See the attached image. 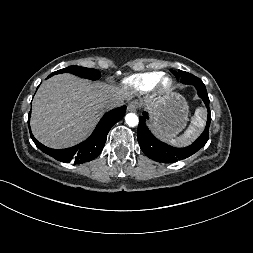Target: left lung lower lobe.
Here are the masks:
<instances>
[{
  "instance_id": "obj_1",
  "label": "left lung lower lobe",
  "mask_w": 253,
  "mask_h": 253,
  "mask_svg": "<svg viewBox=\"0 0 253 253\" xmlns=\"http://www.w3.org/2000/svg\"><path fill=\"white\" fill-rule=\"evenodd\" d=\"M182 83L192 84L196 87L199 97L202 98L208 109L207 124L204 132L192 145L186 148H175L159 141L152 135L148 127L145 125V121L148 119V114L147 112H143V116L139 117L140 122L137 132L138 142L144 154L157 162L173 163L178 160L185 159L197 152L208 141L211 114L209 109V98L205 85L201 79L194 75L190 76L186 80H183Z\"/></svg>"
}]
</instances>
